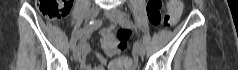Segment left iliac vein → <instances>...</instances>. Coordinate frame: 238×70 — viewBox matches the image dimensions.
I'll return each instance as SVG.
<instances>
[{
    "instance_id": "left-iliac-vein-1",
    "label": "left iliac vein",
    "mask_w": 238,
    "mask_h": 70,
    "mask_svg": "<svg viewBox=\"0 0 238 70\" xmlns=\"http://www.w3.org/2000/svg\"><path fill=\"white\" fill-rule=\"evenodd\" d=\"M105 15L113 22V23H119L122 24L124 15L122 11L119 8H114L111 10H108L105 12ZM136 51L139 56H144L145 54V48L142 45V43H138L136 46Z\"/></svg>"
}]
</instances>
